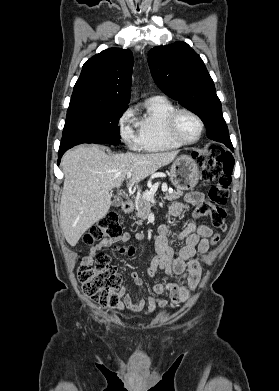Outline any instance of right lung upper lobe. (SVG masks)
<instances>
[{
	"label": "right lung upper lobe",
	"instance_id": "right-lung-upper-lobe-1",
	"mask_svg": "<svg viewBox=\"0 0 279 391\" xmlns=\"http://www.w3.org/2000/svg\"><path fill=\"white\" fill-rule=\"evenodd\" d=\"M133 63L129 49L110 48L94 55L82 67L68 111L86 107H127Z\"/></svg>",
	"mask_w": 279,
	"mask_h": 391
}]
</instances>
